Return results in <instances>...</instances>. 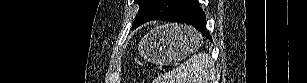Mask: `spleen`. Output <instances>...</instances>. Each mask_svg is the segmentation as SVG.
Masks as SVG:
<instances>
[{
	"label": "spleen",
	"mask_w": 307,
	"mask_h": 83,
	"mask_svg": "<svg viewBox=\"0 0 307 83\" xmlns=\"http://www.w3.org/2000/svg\"><path fill=\"white\" fill-rule=\"evenodd\" d=\"M214 78V62L208 54L200 52L159 76L153 83H212Z\"/></svg>",
	"instance_id": "spleen-1"
}]
</instances>
